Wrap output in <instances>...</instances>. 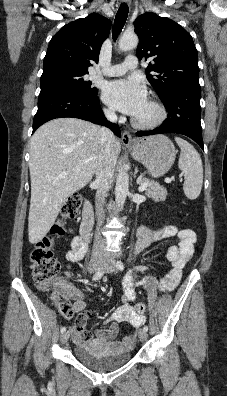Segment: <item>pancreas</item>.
<instances>
[{"label": "pancreas", "mask_w": 227, "mask_h": 396, "mask_svg": "<svg viewBox=\"0 0 227 396\" xmlns=\"http://www.w3.org/2000/svg\"><path fill=\"white\" fill-rule=\"evenodd\" d=\"M141 183H147L146 195L149 198H152L154 201L158 202L159 200L164 201L167 197V190L157 184L154 181H150L148 179H143Z\"/></svg>", "instance_id": "pancreas-1"}]
</instances>
